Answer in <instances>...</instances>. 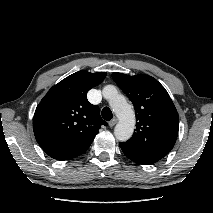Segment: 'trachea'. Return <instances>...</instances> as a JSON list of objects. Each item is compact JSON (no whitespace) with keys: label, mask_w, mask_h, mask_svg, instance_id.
Instances as JSON below:
<instances>
[{"label":"trachea","mask_w":213,"mask_h":213,"mask_svg":"<svg viewBox=\"0 0 213 213\" xmlns=\"http://www.w3.org/2000/svg\"><path fill=\"white\" fill-rule=\"evenodd\" d=\"M101 114H102L103 119L106 120V121L111 120L112 117H113L112 111L110 110L109 107H104L102 109V113Z\"/></svg>","instance_id":"trachea-1"}]
</instances>
